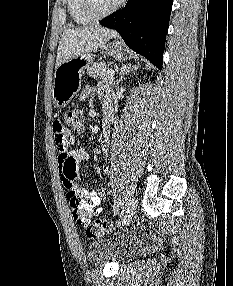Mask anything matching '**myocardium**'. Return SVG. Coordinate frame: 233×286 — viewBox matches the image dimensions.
I'll list each match as a JSON object with an SVG mask.
<instances>
[{
  "mask_svg": "<svg viewBox=\"0 0 233 286\" xmlns=\"http://www.w3.org/2000/svg\"><path fill=\"white\" fill-rule=\"evenodd\" d=\"M84 12L93 20L103 19L114 12H116L125 2V0H118L117 3L110 9L99 12L96 10L93 0H81Z\"/></svg>",
  "mask_w": 233,
  "mask_h": 286,
  "instance_id": "f54148a6",
  "label": "myocardium"
}]
</instances>
